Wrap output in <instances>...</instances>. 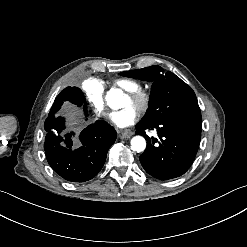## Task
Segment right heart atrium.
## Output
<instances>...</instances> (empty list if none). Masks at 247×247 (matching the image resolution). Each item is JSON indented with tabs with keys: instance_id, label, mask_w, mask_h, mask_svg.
<instances>
[{
	"instance_id": "1",
	"label": "right heart atrium",
	"mask_w": 247,
	"mask_h": 247,
	"mask_svg": "<svg viewBox=\"0 0 247 247\" xmlns=\"http://www.w3.org/2000/svg\"><path fill=\"white\" fill-rule=\"evenodd\" d=\"M85 98L93 109L103 106L102 96L106 93V86L97 78H88L82 84Z\"/></svg>"
}]
</instances>
